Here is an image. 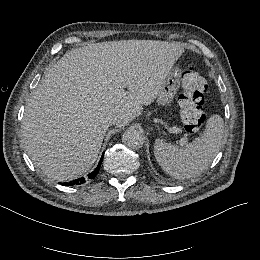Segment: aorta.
Listing matches in <instances>:
<instances>
[{
  "instance_id": "1",
  "label": "aorta",
  "mask_w": 260,
  "mask_h": 260,
  "mask_svg": "<svg viewBox=\"0 0 260 260\" xmlns=\"http://www.w3.org/2000/svg\"><path fill=\"white\" fill-rule=\"evenodd\" d=\"M144 141V135L136 129H128L122 136V142L132 149L141 148L144 144Z\"/></svg>"
}]
</instances>
